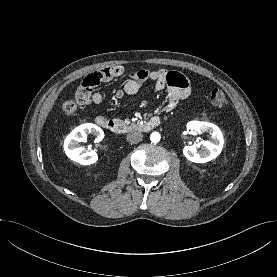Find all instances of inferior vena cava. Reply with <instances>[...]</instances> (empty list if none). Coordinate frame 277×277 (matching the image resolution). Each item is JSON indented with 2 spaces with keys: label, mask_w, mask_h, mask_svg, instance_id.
<instances>
[{
  "label": "inferior vena cava",
  "mask_w": 277,
  "mask_h": 277,
  "mask_svg": "<svg viewBox=\"0 0 277 277\" xmlns=\"http://www.w3.org/2000/svg\"><path fill=\"white\" fill-rule=\"evenodd\" d=\"M143 134L140 132H133L127 135V141L131 144H136L142 141Z\"/></svg>",
  "instance_id": "inferior-vena-cava-1"
}]
</instances>
